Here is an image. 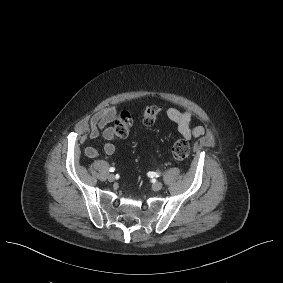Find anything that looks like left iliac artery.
Segmentation results:
<instances>
[{"label":"left iliac artery","mask_w":283,"mask_h":283,"mask_svg":"<svg viewBox=\"0 0 283 283\" xmlns=\"http://www.w3.org/2000/svg\"><path fill=\"white\" fill-rule=\"evenodd\" d=\"M149 174H151L152 177H153V176L159 177V176L161 175V173H156V172H149Z\"/></svg>","instance_id":"obj_1"}]
</instances>
